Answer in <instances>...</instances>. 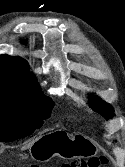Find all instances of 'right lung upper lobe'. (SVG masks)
Masks as SVG:
<instances>
[{"label": "right lung upper lobe", "instance_id": "right-lung-upper-lobe-1", "mask_svg": "<svg viewBox=\"0 0 125 167\" xmlns=\"http://www.w3.org/2000/svg\"><path fill=\"white\" fill-rule=\"evenodd\" d=\"M0 94L29 98L42 94L29 64L21 57L0 56Z\"/></svg>", "mask_w": 125, "mask_h": 167}]
</instances>
